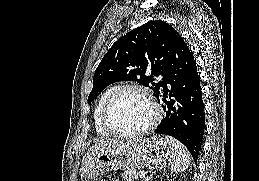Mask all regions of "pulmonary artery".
Returning a JSON list of instances; mask_svg holds the SVG:
<instances>
[{"label":"pulmonary artery","mask_w":259,"mask_h":181,"mask_svg":"<svg viewBox=\"0 0 259 181\" xmlns=\"http://www.w3.org/2000/svg\"><path fill=\"white\" fill-rule=\"evenodd\" d=\"M158 79H159V80H161V79H162V77H161V76H159V77H158Z\"/></svg>","instance_id":"obj_1"}]
</instances>
